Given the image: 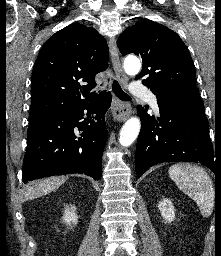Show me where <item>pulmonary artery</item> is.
<instances>
[{
	"mask_svg": "<svg viewBox=\"0 0 221 256\" xmlns=\"http://www.w3.org/2000/svg\"><path fill=\"white\" fill-rule=\"evenodd\" d=\"M131 92L137 97H142L148 100L152 108L156 111L159 110L156 96L142 84L135 82L131 86Z\"/></svg>",
	"mask_w": 221,
	"mask_h": 256,
	"instance_id": "pulmonary-artery-1",
	"label": "pulmonary artery"
}]
</instances>
